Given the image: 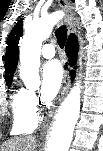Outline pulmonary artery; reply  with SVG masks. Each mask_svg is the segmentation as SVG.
<instances>
[{
	"label": "pulmonary artery",
	"instance_id": "1",
	"mask_svg": "<svg viewBox=\"0 0 103 151\" xmlns=\"http://www.w3.org/2000/svg\"><path fill=\"white\" fill-rule=\"evenodd\" d=\"M41 53L44 58L51 59L55 56V48L52 44H45Z\"/></svg>",
	"mask_w": 103,
	"mask_h": 151
}]
</instances>
